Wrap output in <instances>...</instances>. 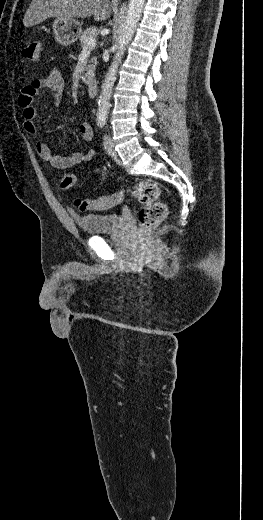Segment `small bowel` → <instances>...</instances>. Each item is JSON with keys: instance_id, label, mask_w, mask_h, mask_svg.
Returning a JSON list of instances; mask_svg holds the SVG:
<instances>
[{"instance_id": "c3829d8e", "label": "small bowel", "mask_w": 263, "mask_h": 520, "mask_svg": "<svg viewBox=\"0 0 263 520\" xmlns=\"http://www.w3.org/2000/svg\"><path fill=\"white\" fill-rule=\"evenodd\" d=\"M43 91H49L55 100L61 97L64 91V79L59 70L55 69L47 77L32 81L19 94L18 102L22 108L24 119L23 128L30 135L37 133V109L33 105V100L36 95ZM79 131L84 140L90 141L92 139L93 130L89 123H82ZM35 146L40 158L56 169H68L80 163L90 162L96 154L94 149H88L85 152L72 153L68 156L55 155L48 145L39 139L36 140Z\"/></svg>"}]
</instances>
